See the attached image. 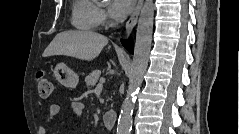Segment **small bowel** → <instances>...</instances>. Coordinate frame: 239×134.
I'll use <instances>...</instances> for the list:
<instances>
[{"label": "small bowel", "instance_id": "1", "mask_svg": "<svg viewBox=\"0 0 239 134\" xmlns=\"http://www.w3.org/2000/svg\"><path fill=\"white\" fill-rule=\"evenodd\" d=\"M71 109L72 111L77 115L81 116L83 115L85 111V107L80 102H72L71 103ZM61 112V106L59 104H52L49 108V118L46 122H50L54 117H56ZM46 130L42 127L40 129V134H46Z\"/></svg>", "mask_w": 239, "mask_h": 134}]
</instances>
